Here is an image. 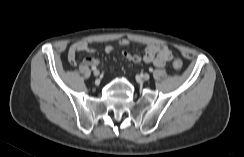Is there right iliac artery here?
<instances>
[{
  "mask_svg": "<svg viewBox=\"0 0 244 157\" xmlns=\"http://www.w3.org/2000/svg\"><path fill=\"white\" fill-rule=\"evenodd\" d=\"M92 70H93V71H96V70H97L96 66H93V67H92Z\"/></svg>",
  "mask_w": 244,
  "mask_h": 157,
  "instance_id": "right-iliac-artery-1",
  "label": "right iliac artery"
}]
</instances>
